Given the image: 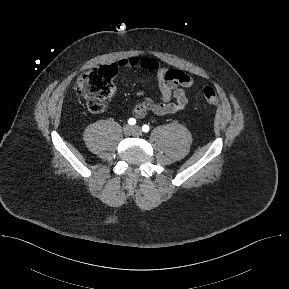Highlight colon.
<instances>
[{
  "label": "colon",
  "instance_id": "1",
  "mask_svg": "<svg viewBox=\"0 0 289 289\" xmlns=\"http://www.w3.org/2000/svg\"><path fill=\"white\" fill-rule=\"evenodd\" d=\"M114 74V66H105L89 70L78 78L75 90L86 100L92 112L100 113L107 108V101L115 92L112 81ZM202 94L209 104L218 103L216 91L212 87H205Z\"/></svg>",
  "mask_w": 289,
  "mask_h": 289
}]
</instances>
